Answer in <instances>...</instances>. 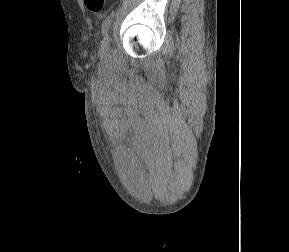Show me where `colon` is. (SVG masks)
Segmentation results:
<instances>
[{"mask_svg": "<svg viewBox=\"0 0 289 252\" xmlns=\"http://www.w3.org/2000/svg\"><path fill=\"white\" fill-rule=\"evenodd\" d=\"M84 4L90 12L99 14L104 9L105 0H84Z\"/></svg>", "mask_w": 289, "mask_h": 252, "instance_id": "colon-1", "label": "colon"}]
</instances>
